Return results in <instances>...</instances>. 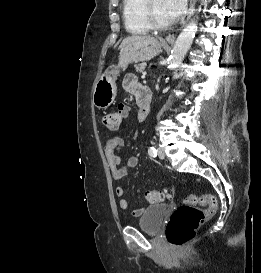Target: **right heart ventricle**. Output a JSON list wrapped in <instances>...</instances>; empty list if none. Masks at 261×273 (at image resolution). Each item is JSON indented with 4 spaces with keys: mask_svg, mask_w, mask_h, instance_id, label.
<instances>
[{
    "mask_svg": "<svg viewBox=\"0 0 261 273\" xmlns=\"http://www.w3.org/2000/svg\"><path fill=\"white\" fill-rule=\"evenodd\" d=\"M144 2L145 0H123L124 26L131 34L141 35L151 30L144 17Z\"/></svg>",
    "mask_w": 261,
    "mask_h": 273,
    "instance_id": "obj_1",
    "label": "right heart ventricle"
}]
</instances>
